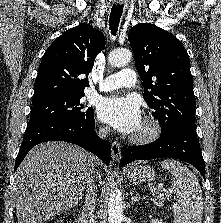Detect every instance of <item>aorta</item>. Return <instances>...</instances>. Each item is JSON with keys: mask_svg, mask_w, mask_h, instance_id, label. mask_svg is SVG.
<instances>
[{"mask_svg": "<svg viewBox=\"0 0 221 223\" xmlns=\"http://www.w3.org/2000/svg\"><path fill=\"white\" fill-rule=\"evenodd\" d=\"M132 54L127 49L114 50L109 54L108 61L111 65L121 67L131 61ZM109 223H121L123 218V202L119 189L113 188L108 198Z\"/></svg>", "mask_w": 221, "mask_h": 223, "instance_id": "aorta-1", "label": "aorta"}]
</instances>
